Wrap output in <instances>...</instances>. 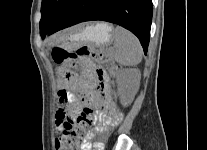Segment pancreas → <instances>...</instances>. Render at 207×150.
I'll list each match as a JSON object with an SVG mask.
<instances>
[{
    "mask_svg": "<svg viewBox=\"0 0 207 150\" xmlns=\"http://www.w3.org/2000/svg\"><path fill=\"white\" fill-rule=\"evenodd\" d=\"M105 56L108 58V60H113V54L111 52H105Z\"/></svg>",
    "mask_w": 207,
    "mask_h": 150,
    "instance_id": "pancreas-1",
    "label": "pancreas"
}]
</instances>
